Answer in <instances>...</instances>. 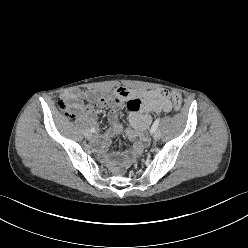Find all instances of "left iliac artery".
I'll return each instance as SVG.
<instances>
[{
    "mask_svg": "<svg viewBox=\"0 0 248 248\" xmlns=\"http://www.w3.org/2000/svg\"><path fill=\"white\" fill-rule=\"evenodd\" d=\"M159 122H160V118H157L151 127V133H154L157 130Z\"/></svg>",
    "mask_w": 248,
    "mask_h": 248,
    "instance_id": "44dca946",
    "label": "left iliac artery"
}]
</instances>
